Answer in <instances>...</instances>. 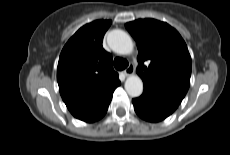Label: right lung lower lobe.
Instances as JSON below:
<instances>
[{
  "instance_id": "obj_1",
  "label": "right lung lower lobe",
  "mask_w": 230,
  "mask_h": 155,
  "mask_svg": "<svg viewBox=\"0 0 230 155\" xmlns=\"http://www.w3.org/2000/svg\"><path fill=\"white\" fill-rule=\"evenodd\" d=\"M109 103L106 104L102 109L98 110L97 112H94V113L89 114L85 117H82L80 120L85 121V122H95V121L101 119L105 115V113L107 112Z\"/></svg>"
}]
</instances>
